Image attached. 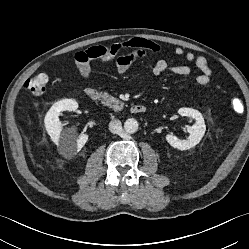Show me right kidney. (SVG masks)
I'll list each match as a JSON object with an SVG mask.
<instances>
[{"instance_id":"ca27d5eb","label":"right kidney","mask_w":249,"mask_h":249,"mask_svg":"<svg viewBox=\"0 0 249 249\" xmlns=\"http://www.w3.org/2000/svg\"><path fill=\"white\" fill-rule=\"evenodd\" d=\"M78 103L73 99H63L56 102L47 112L44 122L52 141L58 146V151L65 158H72L88 141V135L81 133L76 138L75 131L68 129L62 132V124L59 120L62 111H74Z\"/></svg>"}]
</instances>
